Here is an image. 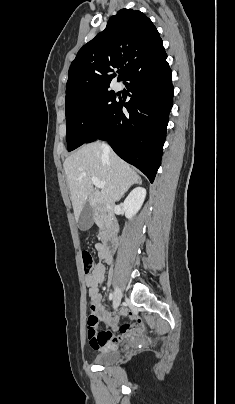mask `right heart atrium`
<instances>
[{
  "label": "right heart atrium",
  "instance_id": "d8ad5b80",
  "mask_svg": "<svg viewBox=\"0 0 235 404\" xmlns=\"http://www.w3.org/2000/svg\"><path fill=\"white\" fill-rule=\"evenodd\" d=\"M95 111H96V107L93 106V107L91 108V112L94 113Z\"/></svg>",
  "mask_w": 235,
  "mask_h": 404
}]
</instances>
